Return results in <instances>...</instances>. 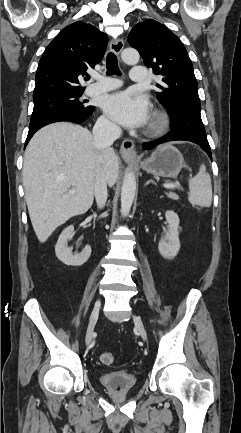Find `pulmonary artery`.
Here are the masks:
<instances>
[{"label": "pulmonary artery", "instance_id": "e3ab8cb5", "mask_svg": "<svg viewBox=\"0 0 241 433\" xmlns=\"http://www.w3.org/2000/svg\"><path fill=\"white\" fill-rule=\"evenodd\" d=\"M130 80L135 84H142L148 80V72L144 66H134L130 73ZM120 85L119 81L116 79L104 78L98 81L85 90L86 95H94L102 92H106L117 88Z\"/></svg>", "mask_w": 241, "mask_h": 433}]
</instances>
